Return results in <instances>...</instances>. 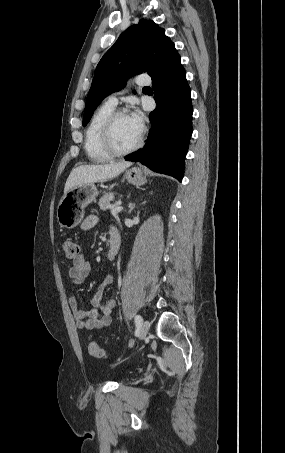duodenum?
<instances>
[{"instance_id": "obj_1", "label": "duodenum", "mask_w": 285, "mask_h": 453, "mask_svg": "<svg viewBox=\"0 0 285 453\" xmlns=\"http://www.w3.org/2000/svg\"><path fill=\"white\" fill-rule=\"evenodd\" d=\"M120 249V239L119 238H111L109 241V248L107 252V258L109 260H113L116 255L118 254Z\"/></svg>"}]
</instances>
